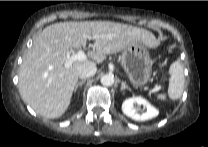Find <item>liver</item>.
Masks as SVG:
<instances>
[{"label": "liver", "mask_w": 208, "mask_h": 147, "mask_svg": "<svg viewBox=\"0 0 208 147\" xmlns=\"http://www.w3.org/2000/svg\"><path fill=\"white\" fill-rule=\"evenodd\" d=\"M94 37V50L84 61L66 67L67 55ZM158 44L144 29L109 21L61 22L47 26L34 39L19 69V93L23 101L45 118H58L70 105L79 71L101 63L109 54L133 44Z\"/></svg>", "instance_id": "6515ba94"}]
</instances>
